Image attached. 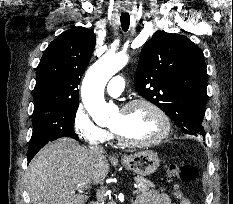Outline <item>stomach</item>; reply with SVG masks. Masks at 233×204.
<instances>
[{
	"instance_id": "stomach-1",
	"label": "stomach",
	"mask_w": 233,
	"mask_h": 204,
	"mask_svg": "<svg viewBox=\"0 0 233 204\" xmlns=\"http://www.w3.org/2000/svg\"><path fill=\"white\" fill-rule=\"evenodd\" d=\"M123 165L133 173L143 177L153 174L160 166V159L156 152L142 150L122 158Z\"/></svg>"
}]
</instances>
